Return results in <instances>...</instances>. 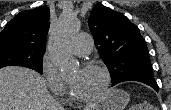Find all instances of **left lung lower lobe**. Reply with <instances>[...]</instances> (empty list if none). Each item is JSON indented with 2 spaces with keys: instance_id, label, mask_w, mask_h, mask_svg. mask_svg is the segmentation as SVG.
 Masks as SVG:
<instances>
[{
  "instance_id": "left-lung-lower-lobe-1",
  "label": "left lung lower lobe",
  "mask_w": 171,
  "mask_h": 110,
  "mask_svg": "<svg viewBox=\"0 0 171 110\" xmlns=\"http://www.w3.org/2000/svg\"><path fill=\"white\" fill-rule=\"evenodd\" d=\"M132 81L143 82V83L151 86L152 88H154L158 92L159 87H158V85H157L155 80H132Z\"/></svg>"
}]
</instances>
